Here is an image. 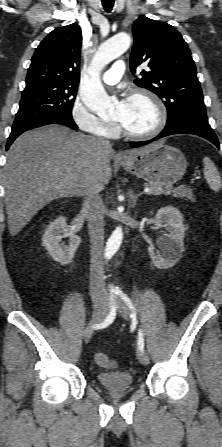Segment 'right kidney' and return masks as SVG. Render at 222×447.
<instances>
[{
  "mask_svg": "<svg viewBox=\"0 0 222 447\" xmlns=\"http://www.w3.org/2000/svg\"><path fill=\"white\" fill-rule=\"evenodd\" d=\"M63 235L69 237V245L61 243ZM42 241L53 260L62 265L72 262L74 254L81 243L80 237L69 229L64 216H59L48 225Z\"/></svg>",
  "mask_w": 222,
  "mask_h": 447,
  "instance_id": "obj_1",
  "label": "right kidney"
}]
</instances>
